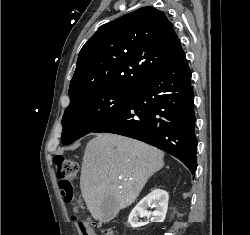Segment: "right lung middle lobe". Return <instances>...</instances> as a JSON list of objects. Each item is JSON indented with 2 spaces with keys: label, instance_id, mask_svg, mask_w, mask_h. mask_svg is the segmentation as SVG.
<instances>
[{
  "label": "right lung middle lobe",
  "instance_id": "dd1d6c3e",
  "mask_svg": "<svg viewBox=\"0 0 250 235\" xmlns=\"http://www.w3.org/2000/svg\"><path fill=\"white\" fill-rule=\"evenodd\" d=\"M133 93L134 90L103 89L70 101L62 119V143H72L93 132L119 111Z\"/></svg>",
  "mask_w": 250,
  "mask_h": 235
}]
</instances>
